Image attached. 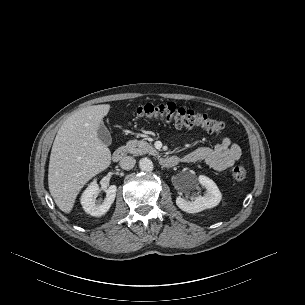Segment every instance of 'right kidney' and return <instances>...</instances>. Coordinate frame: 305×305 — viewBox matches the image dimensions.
Returning a JSON list of instances; mask_svg holds the SVG:
<instances>
[{"label":"right kidney","instance_id":"1","mask_svg":"<svg viewBox=\"0 0 305 305\" xmlns=\"http://www.w3.org/2000/svg\"><path fill=\"white\" fill-rule=\"evenodd\" d=\"M117 187L111 185L106 189V198L102 204H97L95 198L99 194V187L96 182H92L81 196V205L85 212L92 216H102L111 207L116 197Z\"/></svg>","mask_w":305,"mask_h":305}]
</instances>
